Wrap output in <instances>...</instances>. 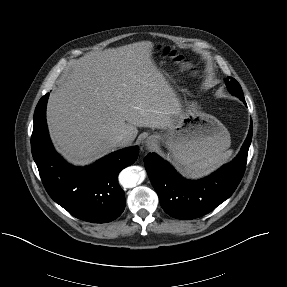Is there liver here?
I'll return each instance as SVG.
<instances>
[{
  "mask_svg": "<svg viewBox=\"0 0 287 287\" xmlns=\"http://www.w3.org/2000/svg\"><path fill=\"white\" fill-rule=\"evenodd\" d=\"M153 46L136 42L70 63L46 112L50 137L67 161L89 164L116 148L117 135L131 144L137 127L167 129L178 120L180 99L154 64Z\"/></svg>",
  "mask_w": 287,
  "mask_h": 287,
  "instance_id": "1",
  "label": "liver"
}]
</instances>
